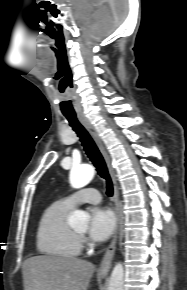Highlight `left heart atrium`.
Returning a JSON list of instances; mask_svg holds the SVG:
<instances>
[{
  "label": "left heart atrium",
  "instance_id": "left-heart-atrium-1",
  "mask_svg": "<svg viewBox=\"0 0 187 290\" xmlns=\"http://www.w3.org/2000/svg\"><path fill=\"white\" fill-rule=\"evenodd\" d=\"M116 218L107 208H94L91 211L89 236L94 241H104L114 232Z\"/></svg>",
  "mask_w": 187,
  "mask_h": 290
}]
</instances>
